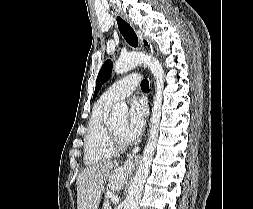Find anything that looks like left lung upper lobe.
<instances>
[{
	"label": "left lung upper lobe",
	"mask_w": 253,
	"mask_h": 209,
	"mask_svg": "<svg viewBox=\"0 0 253 209\" xmlns=\"http://www.w3.org/2000/svg\"><path fill=\"white\" fill-rule=\"evenodd\" d=\"M145 45H147V42H144ZM112 72V61L111 60H107L103 66L101 67L97 80H96V87H95V92H94V96L98 93V91L101 89L102 85L108 81V79L110 78Z\"/></svg>",
	"instance_id": "obj_1"
}]
</instances>
